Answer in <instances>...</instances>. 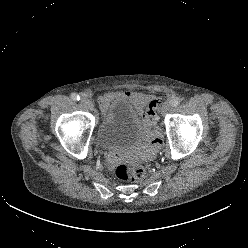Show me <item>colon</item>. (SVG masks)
<instances>
[{"mask_svg":"<svg viewBox=\"0 0 248 248\" xmlns=\"http://www.w3.org/2000/svg\"><path fill=\"white\" fill-rule=\"evenodd\" d=\"M157 100L155 99L146 112V118L150 123H154L156 120L155 107ZM146 172V167L142 162H125L115 165L113 173L115 177L124 182H134L141 179Z\"/></svg>","mask_w":248,"mask_h":248,"instance_id":"colon-1","label":"colon"}]
</instances>
